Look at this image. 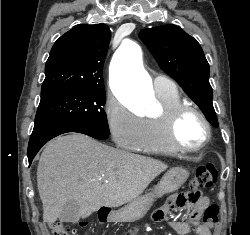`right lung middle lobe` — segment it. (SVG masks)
I'll return each instance as SVG.
<instances>
[{"mask_svg": "<svg viewBox=\"0 0 250 235\" xmlns=\"http://www.w3.org/2000/svg\"><path fill=\"white\" fill-rule=\"evenodd\" d=\"M104 105V87L54 93L41 97L35 123L46 120L68 121L109 135Z\"/></svg>", "mask_w": 250, "mask_h": 235, "instance_id": "1", "label": "right lung middle lobe"}]
</instances>
